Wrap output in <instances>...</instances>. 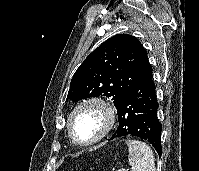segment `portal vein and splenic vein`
<instances>
[{
	"mask_svg": "<svg viewBox=\"0 0 199 171\" xmlns=\"http://www.w3.org/2000/svg\"><path fill=\"white\" fill-rule=\"evenodd\" d=\"M129 170H130V168H124V169H120L118 171H129Z\"/></svg>",
	"mask_w": 199,
	"mask_h": 171,
	"instance_id": "18ae733b",
	"label": "portal vein and splenic vein"
}]
</instances>
